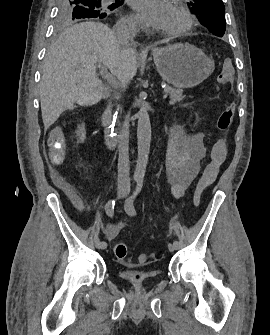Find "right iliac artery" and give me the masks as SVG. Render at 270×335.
Wrapping results in <instances>:
<instances>
[{"label": "right iliac artery", "instance_id": "1", "mask_svg": "<svg viewBox=\"0 0 270 335\" xmlns=\"http://www.w3.org/2000/svg\"><path fill=\"white\" fill-rule=\"evenodd\" d=\"M114 207H115V199H111L106 203L105 210L108 216L113 217ZM106 247H107V243L105 241H102L100 243V248L105 249Z\"/></svg>", "mask_w": 270, "mask_h": 335}]
</instances>
